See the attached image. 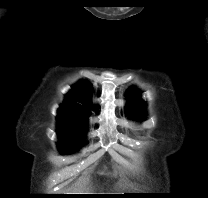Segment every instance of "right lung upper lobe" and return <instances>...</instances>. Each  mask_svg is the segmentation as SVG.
I'll use <instances>...</instances> for the list:
<instances>
[{
	"label": "right lung upper lobe",
	"mask_w": 208,
	"mask_h": 198,
	"mask_svg": "<svg viewBox=\"0 0 208 198\" xmlns=\"http://www.w3.org/2000/svg\"><path fill=\"white\" fill-rule=\"evenodd\" d=\"M72 89L58 109L57 119H73L87 123L92 108V86L86 81H80Z\"/></svg>",
	"instance_id": "right-lung-upper-lobe-1"
}]
</instances>
